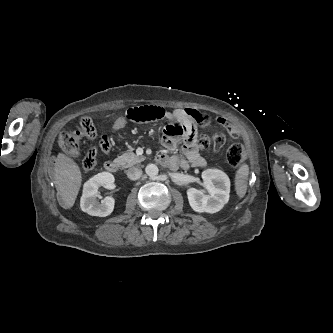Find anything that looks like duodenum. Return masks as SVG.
<instances>
[{
    "instance_id": "1",
    "label": "duodenum",
    "mask_w": 333,
    "mask_h": 333,
    "mask_svg": "<svg viewBox=\"0 0 333 333\" xmlns=\"http://www.w3.org/2000/svg\"><path fill=\"white\" fill-rule=\"evenodd\" d=\"M105 168L111 173H115L119 169V164L116 161L110 160L105 163Z\"/></svg>"
}]
</instances>
